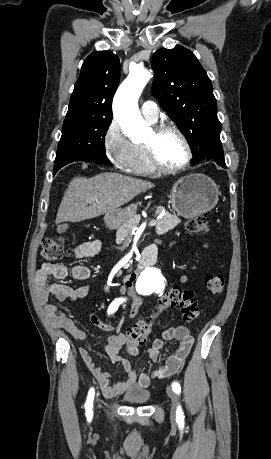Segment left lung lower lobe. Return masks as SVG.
Segmentation results:
<instances>
[{
    "label": "left lung lower lobe",
    "instance_id": "left-lung-lower-lobe-1",
    "mask_svg": "<svg viewBox=\"0 0 271 459\" xmlns=\"http://www.w3.org/2000/svg\"><path fill=\"white\" fill-rule=\"evenodd\" d=\"M216 140H217V143H219L220 148L214 154L208 155L202 161L213 160L218 165H220L221 167L226 168V164H225V161H224V155H223V148H222V144H221L220 138H217Z\"/></svg>",
    "mask_w": 271,
    "mask_h": 459
}]
</instances>
